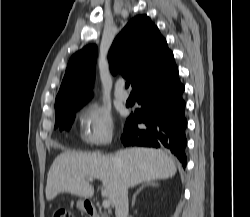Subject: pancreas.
<instances>
[{"instance_id":"cf45deb5","label":"pancreas","mask_w":250,"mask_h":217,"mask_svg":"<svg viewBox=\"0 0 250 217\" xmlns=\"http://www.w3.org/2000/svg\"><path fill=\"white\" fill-rule=\"evenodd\" d=\"M101 217H106L105 215H102Z\"/></svg>"}]
</instances>
